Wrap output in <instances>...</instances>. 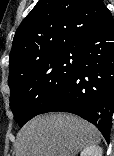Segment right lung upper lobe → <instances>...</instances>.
<instances>
[{
	"label": "right lung upper lobe",
	"mask_w": 114,
	"mask_h": 156,
	"mask_svg": "<svg viewBox=\"0 0 114 156\" xmlns=\"http://www.w3.org/2000/svg\"><path fill=\"white\" fill-rule=\"evenodd\" d=\"M107 12L103 0H39L16 30L8 84L37 63L76 47Z\"/></svg>",
	"instance_id": "obj_1"
}]
</instances>
